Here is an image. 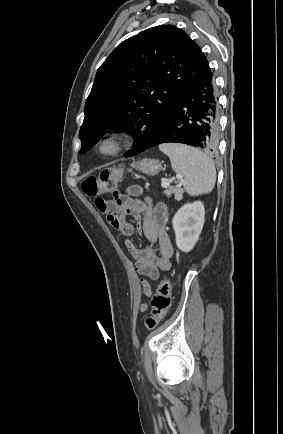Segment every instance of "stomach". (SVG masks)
<instances>
[{
    "label": "stomach",
    "instance_id": "1",
    "mask_svg": "<svg viewBox=\"0 0 283 434\" xmlns=\"http://www.w3.org/2000/svg\"><path fill=\"white\" fill-rule=\"evenodd\" d=\"M133 167L145 174L156 175L161 170V163L157 159L146 158L137 162Z\"/></svg>",
    "mask_w": 283,
    "mask_h": 434
}]
</instances>
